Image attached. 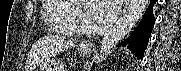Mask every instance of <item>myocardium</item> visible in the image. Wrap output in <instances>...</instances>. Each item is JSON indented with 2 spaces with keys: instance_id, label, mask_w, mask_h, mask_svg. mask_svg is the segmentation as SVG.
Wrapping results in <instances>:
<instances>
[{
  "instance_id": "1",
  "label": "myocardium",
  "mask_w": 181,
  "mask_h": 71,
  "mask_svg": "<svg viewBox=\"0 0 181 71\" xmlns=\"http://www.w3.org/2000/svg\"><path fill=\"white\" fill-rule=\"evenodd\" d=\"M81 8H82L83 11H84V16H85L86 18H88V17H89V14H88V6H87V5H84L83 7L81 6ZM85 11H86V12H85ZM85 29H86L87 31H92V30L94 29V26H93L91 23H87L86 26H85Z\"/></svg>"
}]
</instances>
